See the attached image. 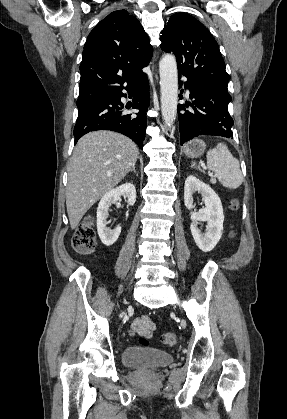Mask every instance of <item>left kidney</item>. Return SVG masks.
Here are the masks:
<instances>
[{"mask_svg": "<svg viewBox=\"0 0 287 419\" xmlns=\"http://www.w3.org/2000/svg\"><path fill=\"white\" fill-rule=\"evenodd\" d=\"M199 192L205 203V208L198 212H191V233L195 243L203 252L211 251L219 242L223 232V207L219 196L204 182L193 175H189L184 185V203L187 209L193 208V194ZM207 222L205 234L197 228V223Z\"/></svg>", "mask_w": 287, "mask_h": 419, "instance_id": "left-kidney-1", "label": "left kidney"}]
</instances>
